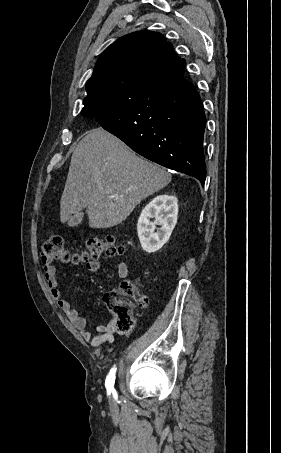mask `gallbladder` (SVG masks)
Listing matches in <instances>:
<instances>
[{"label":"gallbladder","mask_w":281,"mask_h":453,"mask_svg":"<svg viewBox=\"0 0 281 453\" xmlns=\"http://www.w3.org/2000/svg\"><path fill=\"white\" fill-rule=\"evenodd\" d=\"M83 218V212H78V214H74V216H72L70 222H69V227L70 228H75L79 225V222H81Z\"/></svg>","instance_id":"obj_1"}]
</instances>
